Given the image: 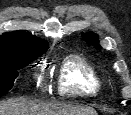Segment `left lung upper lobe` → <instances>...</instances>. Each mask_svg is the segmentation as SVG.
<instances>
[{"label": "left lung upper lobe", "instance_id": "left-lung-upper-lobe-1", "mask_svg": "<svg viewBox=\"0 0 131 115\" xmlns=\"http://www.w3.org/2000/svg\"><path fill=\"white\" fill-rule=\"evenodd\" d=\"M84 40H86L89 44L94 45L97 49H99L98 39L94 33H82Z\"/></svg>", "mask_w": 131, "mask_h": 115}]
</instances>
